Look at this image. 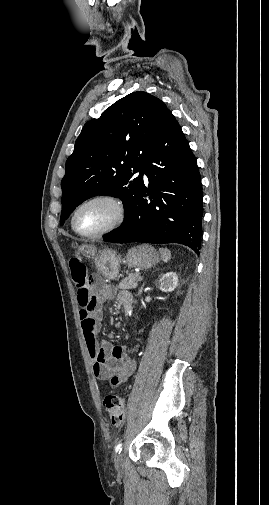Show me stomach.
I'll use <instances>...</instances> for the list:
<instances>
[{
    "label": "stomach",
    "instance_id": "0dacf381",
    "mask_svg": "<svg viewBox=\"0 0 269 505\" xmlns=\"http://www.w3.org/2000/svg\"><path fill=\"white\" fill-rule=\"evenodd\" d=\"M156 249L148 244L131 248L124 258L114 250L104 249L95 257L97 271L107 280H115L119 275L120 264L125 263L130 268H150L159 262Z\"/></svg>",
    "mask_w": 269,
    "mask_h": 505
}]
</instances>
